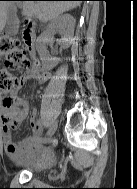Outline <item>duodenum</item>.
Here are the masks:
<instances>
[{"label":"duodenum","mask_w":137,"mask_h":189,"mask_svg":"<svg viewBox=\"0 0 137 189\" xmlns=\"http://www.w3.org/2000/svg\"><path fill=\"white\" fill-rule=\"evenodd\" d=\"M22 40H23L25 48L30 53H33L35 50L36 37H35L34 32L29 27L23 30Z\"/></svg>","instance_id":"1"}]
</instances>
